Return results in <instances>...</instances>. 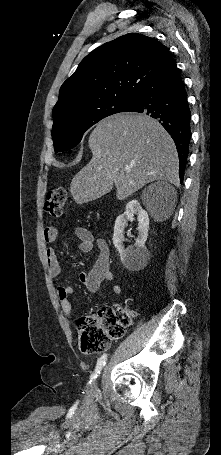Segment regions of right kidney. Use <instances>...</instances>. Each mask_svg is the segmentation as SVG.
<instances>
[{"label": "right kidney", "instance_id": "1", "mask_svg": "<svg viewBox=\"0 0 221 455\" xmlns=\"http://www.w3.org/2000/svg\"><path fill=\"white\" fill-rule=\"evenodd\" d=\"M157 186H162L158 184ZM134 215H137L138 220V237L134 245L124 249V229L128 221L134 220ZM149 217L147 212L141 207L138 200H131L126 205L125 212L118 216L115 221L113 244L120 254L121 262L128 269H135L143 265L149 256L148 250L145 247V242L148 236Z\"/></svg>", "mask_w": 221, "mask_h": 455}]
</instances>
